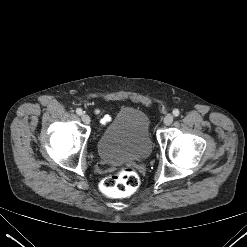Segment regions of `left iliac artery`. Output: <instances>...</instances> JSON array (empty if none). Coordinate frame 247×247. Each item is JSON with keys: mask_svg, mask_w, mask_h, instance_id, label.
Wrapping results in <instances>:
<instances>
[{"mask_svg": "<svg viewBox=\"0 0 247 247\" xmlns=\"http://www.w3.org/2000/svg\"><path fill=\"white\" fill-rule=\"evenodd\" d=\"M179 114H180V111H179L178 109H174V110H173V115H174V116L177 117V116H179Z\"/></svg>", "mask_w": 247, "mask_h": 247, "instance_id": "obj_1", "label": "left iliac artery"}]
</instances>
